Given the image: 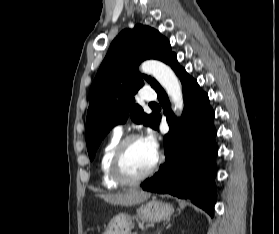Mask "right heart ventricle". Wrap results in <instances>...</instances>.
Wrapping results in <instances>:
<instances>
[{
    "label": "right heart ventricle",
    "instance_id": "right-heart-ventricle-1",
    "mask_svg": "<svg viewBox=\"0 0 279 234\" xmlns=\"http://www.w3.org/2000/svg\"><path fill=\"white\" fill-rule=\"evenodd\" d=\"M120 140L121 133H115L104 146L100 156V171L102 176V183L107 188H117L120 185L112 178L110 170L111 158Z\"/></svg>",
    "mask_w": 279,
    "mask_h": 234
}]
</instances>
